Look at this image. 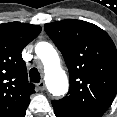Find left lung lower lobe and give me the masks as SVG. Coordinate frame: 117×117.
I'll return each mask as SVG.
<instances>
[{"mask_svg": "<svg viewBox=\"0 0 117 117\" xmlns=\"http://www.w3.org/2000/svg\"><path fill=\"white\" fill-rule=\"evenodd\" d=\"M54 113L57 117H77L68 112L61 111L60 109L55 108V107H54Z\"/></svg>", "mask_w": 117, "mask_h": 117, "instance_id": "obj_1", "label": "left lung lower lobe"}]
</instances>
